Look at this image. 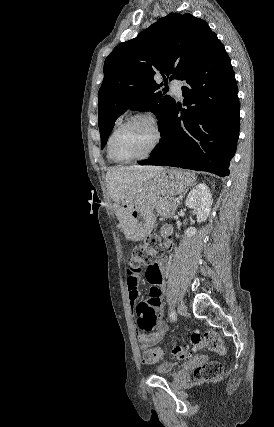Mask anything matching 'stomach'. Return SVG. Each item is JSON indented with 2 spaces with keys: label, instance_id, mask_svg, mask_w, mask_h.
<instances>
[{
  "label": "stomach",
  "instance_id": "obj_1",
  "mask_svg": "<svg viewBox=\"0 0 274 427\" xmlns=\"http://www.w3.org/2000/svg\"><path fill=\"white\" fill-rule=\"evenodd\" d=\"M195 184V174L184 170L165 168L153 178L141 180L130 202L115 204V212L121 229L128 239H146L155 225L154 208L159 198L187 192Z\"/></svg>",
  "mask_w": 274,
  "mask_h": 427
}]
</instances>
